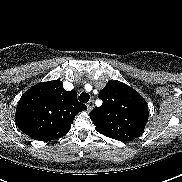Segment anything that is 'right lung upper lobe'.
I'll return each mask as SVG.
<instances>
[{
	"mask_svg": "<svg viewBox=\"0 0 182 182\" xmlns=\"http://www.w3.org/2000/svg\"><path fill=\"white\" fill-rule=\"evenodd\" d=\"M75 90L60 80L36 84L20 98L15 114L18 128L34 140L58 139L68 133L75 115L86 110Z\"/></svg>",
	"mask_w": 182,
	"mask_h": 182,
	"instance_id": "obj_1",
	"label": "right lung upper lobe"
}]
</instances>
